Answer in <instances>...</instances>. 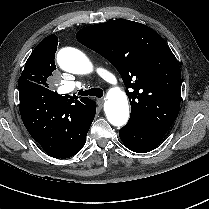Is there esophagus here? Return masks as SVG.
<instances>
[{
	"mask_svg": "<svg viewBox=\"0 0 209 209\" xmlns=\"http://www.w3.org/2000/svg\"><path fill=\"white\" fill-rule=\"evenodd\" d=\"M103 103H104V99H98L97 100V104H98L99 107H102Z\"/></svg>",
	"mask_w": 209,
	"mask_h": 209,
	"instance_id": "esophagus-1",
	"label": "esophagus"
}]
</instances>
